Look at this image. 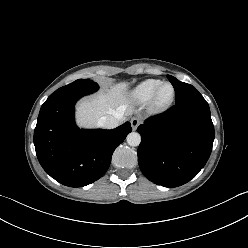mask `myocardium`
<instances>
[{
    "label": "myocardium",
    "mask_w": 248,
    "mask_h": 248,
    "mask_svg": "<svg viewBox=\"0 0 248 248\" xmlns=\"http://www.w3.org/2000/svg\"><path fill=\"white\" fill-rule=\"evenodd\" d=\"M166 86H170L172 89V94L170 96V98L166 101H162L160 99V93L162 91V89ZM175 96H176V90L175 87L173 86V84H171L170 82H162L158 88L155 90L154 94L152 95L150 101H149V107L152 111H163L166 110L167 108H169L174 100H175Z\"/></svg>",
    "instance_id": "1"
}]
</instances>
